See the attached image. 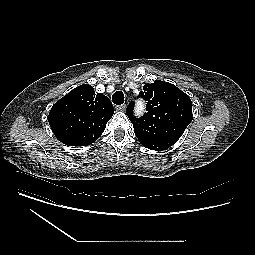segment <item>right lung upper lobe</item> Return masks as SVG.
<instances>
[{"label": "right lung upper lobe", "mask_w": 255, "mask_h": 255, "mask_svg": "<svg viewBox=\"0 0 255 255\" xmlns=\"http://www.w3.org/2000/svg\"><path fill=\"white\" fill-rule=\"evenodd\" d=\"M113 115L108 97L83 84L51 108L48 121L56 138L68 146H87L103 133Z\"/></svg>", "instance_id": "obj_1"}]
</instances>
